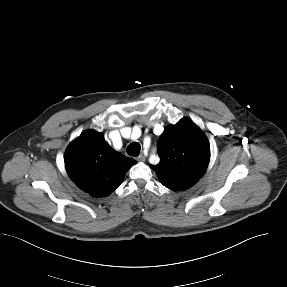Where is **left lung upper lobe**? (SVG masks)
Listing matches in <instances>:
<instances>
[{"label": "left lung upper lobe", "mask_w": 287, "mask_h": 287, "mask_svg": "<svg viewBox=\"0 0 287 287\" xmlns=\"http://www.w3.org/2000/svg\"><path fill=\"white\" fill-rule=\"evenodd\" d=\"M160 163L151 165L160 182L172 190L193 186L204 174L210 159L205 134L188 118L165 128L158 142Z\"/></svg>", "instance_id": "1"}]
</instances>
